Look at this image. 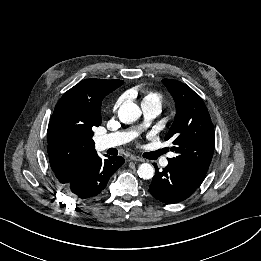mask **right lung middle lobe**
<instances>
[{
	"instance_id": "obj_1",
	"label": "right lung middle lobe",
	"mask_w": 261,
	"mask_h": 261,
	"mask_svg": "<svg viewBox=\"0 0 261 261\" xmlns=\"http://www.w3.org/2000/svg\"><path fill=\"white\" fill-rule=\"evenodd\" d=\"M101 124V121H89L87 123H85L81 128H80V132L85 135L88 138H92L94 132L92 131L93 127H97ZM76 132L75 129H71V128H62L60 130V133L62 135H73Z\"/></svg>"
}]
</instances>
